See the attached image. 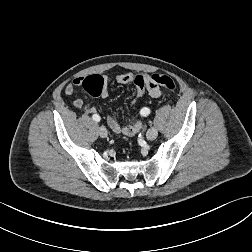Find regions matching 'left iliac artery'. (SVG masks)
<instances>
[{"label": "left iliac artery", "instance_id": "44dca946", "mask_svg": "<svg viewBox=\"0 0 252 252\" xmlns=\"http://www.w3.org/2000/svg\"><path fill=\"white\" fill-rule=\"evenodd\" d=\"M149 112H150V110L148 108H146V107L141 108L140 111H139L140 118L141 119H146Z\"/></svg>", "mask_w": 252, "mask_h": 252}]
</instances>
